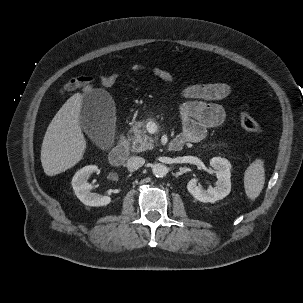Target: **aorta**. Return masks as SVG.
Masks as SVG:
<instances>
[{"instance_id": "762f6f07", "label": "aorta", "mask_w": 303, "mask_h": 303, "mask_svg": "<svg viewBox=\"0 0 303 303\" xmlns=\"http://www.w3.org/2000/svg\"><path fill=\"white\" fill-rule=\"evenodd\" d=\"M153 174L158 178H163L168 173V169L164 164H155L152 168Z\"/></svg>"}]
</instances>
